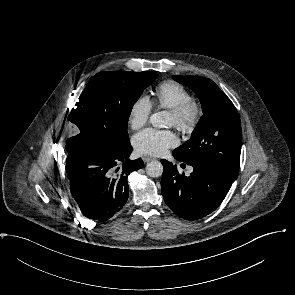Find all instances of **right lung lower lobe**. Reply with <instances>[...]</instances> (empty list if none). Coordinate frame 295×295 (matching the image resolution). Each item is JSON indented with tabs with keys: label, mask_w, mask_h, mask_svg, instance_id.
Returning a JSON list of instances; mask_svg holds the SVG:
<instances>
[{
	"label": "right lung lower lobe",
	"mask_w": 295,
	"mask_h": 295,
	"mask_svg": "<svg viewBox=\"0 0 295 295\" xmlns=\"http://www.w3.org/2000/svg\"><path fill=\"white\" fill-rule=\"evenodd\" d=\"M131 152L130 144L117 150L97 143L68 152L70 190L85 217L106 221L123 208L129 196L127 178L144 165L140 158L128 159ZM120 163L123 166L119 170Z\"/></svg>",
	"instance_id": "right-lung-lower-lobe-1"
}]
</instances>
